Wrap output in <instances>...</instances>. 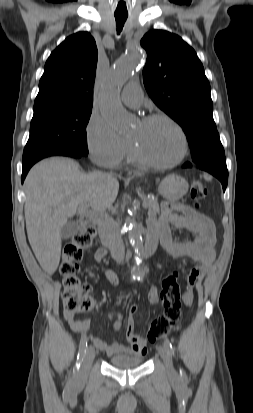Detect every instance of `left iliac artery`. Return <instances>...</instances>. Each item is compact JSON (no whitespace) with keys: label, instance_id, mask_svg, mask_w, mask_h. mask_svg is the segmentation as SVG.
I'll return each instance as SVG.
<instances>
[{"label":"left iliac artery","instance_id":"44dca946","mask_svg":"<svg viewBox=\"0 0 253 413\" xmlns=\"http://www.w3.org/2000/svg\"><path fill=\"white\" fill-rule=\"evenodd\" d=\"M164 344L168 348L169 353L171 355H174V348H173V346H172V344H171V342L169 341L168 338L165 339ZM180 376H181L182 379H186V374H185L183 369H180Z\"/></svg>","mask_w":253,"mask_h":413}]
</instances>
